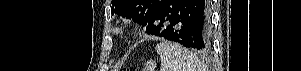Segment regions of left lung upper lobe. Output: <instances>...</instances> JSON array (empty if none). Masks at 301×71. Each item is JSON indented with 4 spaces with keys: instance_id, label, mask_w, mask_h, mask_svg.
Here are the masks:
<instances>
[{
    "instance_id": "obj_1",
    "label": "left lung upper lobe",
    "mask_w": 301,
    "mask_h": 71,
    "mask_svg": "<svg viewBox=\"0 0 301 71\" xmlns=\"http://www.w3.org/2000/svg\"><path fill=\"white\" fill-rule=\"evenodd\" d=\"M161 0H112V14L145 24L154 14Z\"/></svg>"
}]
</instances>
